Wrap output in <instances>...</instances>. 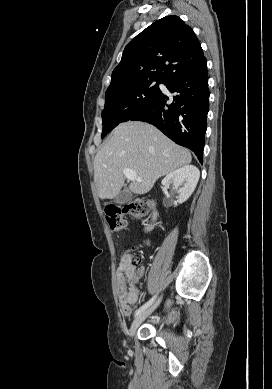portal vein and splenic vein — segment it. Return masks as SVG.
Segmentation results:
<instances>
[{"label":"portal vein and splenic vein","mask_w":272,"mask_h":389,"mask_svg":"<svg viewBox=\"0 0 272 389\" xmlns=\"http://www.w3.org/2000/svg\"><path fill=\"white\" fill-rule=\"evenodd\" d=\"M123 174L125 175V177H127L129 180L131 181H137V182H141L142 179L137 177V174L134 170H131V169H124L123 170Z\"/></svg>","instance_id":"portal-vein-and-splenic-vein-1"}]
</instances>
